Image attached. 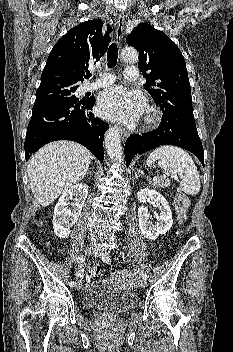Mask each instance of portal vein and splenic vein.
Returning a JSON list of instances; mask_svg holds the SVG:
<instances>
[{"label": "portal vein and splenic vein", "mask_w": 233, "mask_h": 352, "mask_svg": "<svg viewBox=\"0 0 233 352\" xmlns=\"http://www.w3.org/2000/svg\"><path fill=\"white\" fill-rule=\"evenodd\" d=\"M163 176H164V177L169 176V177H171V178L177 179V177H176V176H174V175H170V174H169V173H167V172H166Z\"/></svg>", "instance_id": "18ae733b"}]
</instances>
